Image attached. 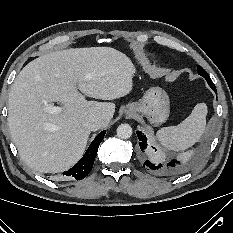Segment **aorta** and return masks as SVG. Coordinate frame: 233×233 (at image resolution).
<instances>
[{
    "mask_svg": "<svg viewBox=\"0 0 233 233\" xmlns=\"http://www.w3.org/2000/svg\"><path fill=\"white\" fill-rule=\"evenodd\" d=\"M132 135V128L128 124H121L117 128V136L121 139H128Z\"/></svg>",
    "mask_w": 233,
    "mask_h": 233,
    "instance_id": "aorta-1",
    "label": "aorta"
}]
</instances>
